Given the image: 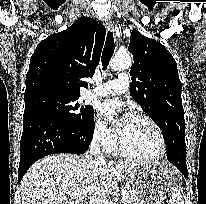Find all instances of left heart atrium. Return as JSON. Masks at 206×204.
I'll list each match as a JSON object with an SVG mask.
<instances>
[{
  "label": "left heart atrium",
  "mask_w": 206,
  "mask_h": 204,
  "mask_svg": "<svg viewBox=\"0 0 206 204\" xmlns=\"http://www.w3.org/2000/svg\"><path fill=\"white\" fill-rule=\"evenodd\" d=\"M101 112L109 119H113V117L121 110H126L125 104L123 102L117 100H109L103 103L100 107ZM133 115L125 111L123 117L120 119L118 123V131L121 134L125 123L132 117Z\"/></svg>",
  "instance_id": "1"
}]
</instances>
